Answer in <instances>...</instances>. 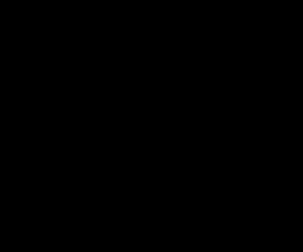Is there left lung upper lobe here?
Segmentation results:
<instances>
[{
    "label": "left lung upper lobe",
    "mask_w": 303,
    "mask_h": 252,
    "mask_svg": "<svg viewBox=\"0 0 303 252\" xmlns=\"http://www.w3.org/2000/svg\"><path fill=\"white\" fill-rule=\"evenodd\" d=\"M212 141L214 142V143H221V142H223L224 141V138L222 137V136H216V137H214L213 139H212Z\"/></svg>",
    "instance_id": "1"
}]
</instances>
